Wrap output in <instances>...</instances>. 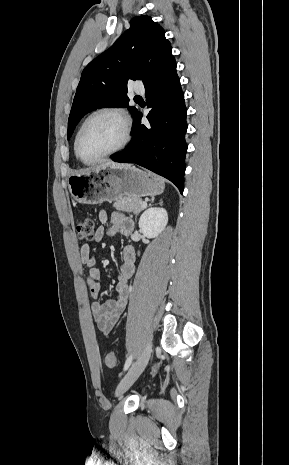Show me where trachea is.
<instances>
[{
    "label": "trachea",
    "instance_id": "trachea-1",
    "mask_svg": "<svg viewBox=\"0 0 289 465\" xmlns=\"http://www.w3.org/2000/svg\"><path fill=\"white\" fill-rule=\"evenodd\" d=\"M135 98H141V97L137 95V96H135Z\"/></svg>",
    "mask_w": 289,
    "mask_h": 465
}]
</instances>
